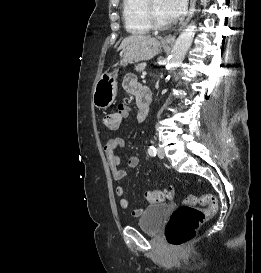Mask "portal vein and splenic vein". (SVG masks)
<instances>
[{
	"label": "portal vein and splenic vein",
	"instance_id": "portal-vein-and-splenic-vein-1",
	"mask_svg": "<svg viewBox=\"0 0 261 273\" xmlns=\"http://www.w3.org/2000/svg\"><path fill=\"white\" fill-rule=\"evenodd\" d=\"M145 76H146V72H143V73H142L141 78H143V79H144V78H145Z\"/></svg>",
	"mask_w": 261,
	"mask_h": 273
}]
</instances>
